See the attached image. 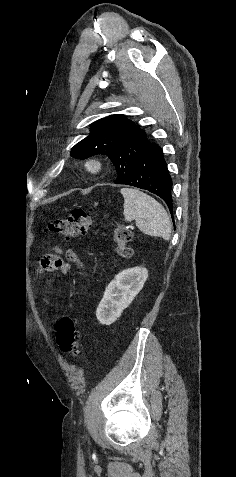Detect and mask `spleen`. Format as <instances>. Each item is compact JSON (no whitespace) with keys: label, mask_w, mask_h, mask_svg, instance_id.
I'll use <instances>...</instances> for the list:
<instances>
[{"label":"spleen","mask_w":236,"mask_h":477,"mask_svg":"<svg viewBox=\"0 0 236 477\" xmlns=\"http://www.w3.org/2000/svg\"><path fill=\"white\" fill-rule=\"evenodd\" d=\"M124 218L136 221L140 231L151 236L170 239L171 222L164 207L151 196L134 188H122Z\"/></svg>","instance_id":"1"}]
</instances>
